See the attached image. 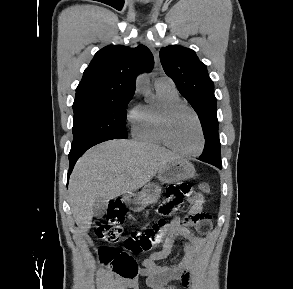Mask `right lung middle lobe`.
<instances>
[{
    "mask_svg": "<svg viewBox=\"0 0 293 289\" xmlns=\"http://www.w3.org/2000/svg\"><path fill=\"white\" fill-rule=\"evenodd\" d=\"M132 96L74 101L72 150L128 138L125 109Z\"/></svg>",
    "mask_w": 293,
    "mask_h": 289,
    "instance_id": "obj_1",
    "label": "right lung middle lobe"
}]
</instances>
